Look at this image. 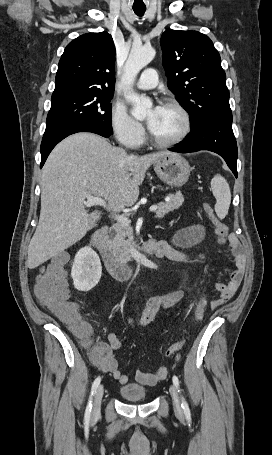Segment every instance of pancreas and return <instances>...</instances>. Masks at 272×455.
<instances>
[{
    "label": "pancreas",
    "mask_w": 272,
    "mask_h": 455,
    "mask_svg": "<svg viewBox=\"0 0 272 455\" xmlns=\"http://www.w3.org/2000/svg\"><path fill=\"white\" fill-rule=\"evenodd\" d=\"M169 201L160 202L157 207L156 217L162 218L169 212L178 209L184 198L181 194H170ZM134 246L133 230L129 225H115L110 239L107 241L108 251L119 263L130 261V248Z\"/></svg>",
    "instance_id": "pancreas-1"
}]
</instances>
